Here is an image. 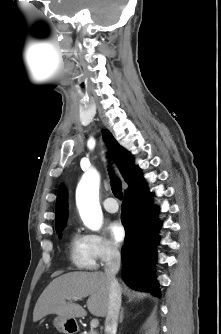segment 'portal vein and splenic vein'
<instances>
[{
  "mask_svg": "<svg viewBox=\"0 0 221 334\" xmlns=\"http://www.w3.org/2000/svg\"><path fill=\"white\" fill-rule=\"evenodd\" d=\"M73 300L77 301L78 298H74ZM69 301H71V299H69ZM98 324H99L98 319H92L91 322H90L91 329L93 330V328H96L98 326Z\"/></svg>",
  "mask_w": 221,
  "mask_h": 334,
  "instance_id": "obj_1",
  "label": "portal vein and splenic vein"
}]
</instances>
